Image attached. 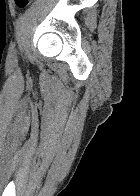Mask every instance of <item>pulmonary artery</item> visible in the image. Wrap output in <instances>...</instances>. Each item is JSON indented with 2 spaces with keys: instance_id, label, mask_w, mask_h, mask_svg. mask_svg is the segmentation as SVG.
Here are the masks:
<instances>
[{
  "instance_id": "obj_1",
  "label": "pulmonary artery",
  "mask_w": 140,
  "mask_h": 196,
  "mask_svg": "<svg viewBox=\"0 0 140 196\" xmlns=\"http://www.w3.org/2000/svg\"><path fill=\"white\" fill-rule=\"evenodd\" d=\"M41 192H53V191H41Z\"/></svg>"
}]
</instances>
